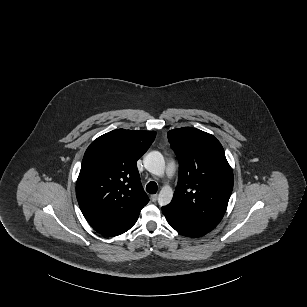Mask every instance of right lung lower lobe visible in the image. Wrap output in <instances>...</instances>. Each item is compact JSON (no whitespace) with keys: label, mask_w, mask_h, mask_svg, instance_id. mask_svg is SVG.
<instances>
[{"label":"right lung lower lobe","mask_w":307,"mask_h":307,"mask_svg":"<svg viewBox=\"0 0 307 307\" xmlns=\"http://www.w3.org/2000/svg\"><path fill=\"white\" fill-rule=\"evenodd\" d=\"M139 216V215H138ZM138 216L135 217L130 223H128L125 227H123L122 229L118 230L117 232H115L113 235L111 236H117V235H120L124 232H126L127 230H129L137 221L138 219Z\"/></svg>","instance_id":"obj_1"}]
</instances>
